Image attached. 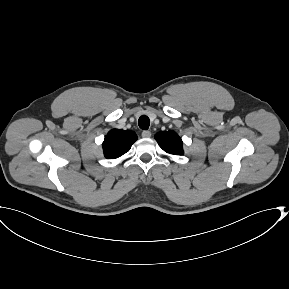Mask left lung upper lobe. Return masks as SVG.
I'll use <instances>...</instances> for the list:
<instances>
[{"label":"left lung upper lobe","instance_id":"left-lung-upper-lobe-1","mask_svg":"<svg viewBox=\"0 0 289 289\" xmlns=\"http://www.w3.org/2000/svg\"><path fill=\"white\" fill-rule=\"evenodd\" d=\"M155 139L159 146L167 153L173 155H182V140L174 131L158 132Z\"/></svg>","mask_w":289,"mask_h":289}]
</instances>
